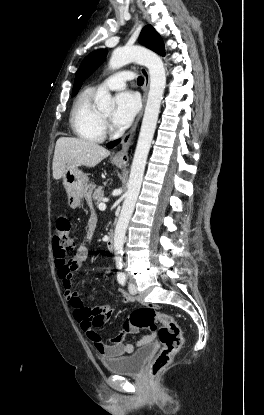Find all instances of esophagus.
<instances>
[{
	"label": "esophagus",
	"instance_id": "34e87169",
	"mask_svg": "<svg viewBox=\"0 0 264 415\" xmlns=\"http://www.w3.org/2000/svg\"><path fill=\"white\" fill-rule=\"evenodd\" d=\"M141 73L144 77V86H143V105H144L146 102V96H147V92L149 88L150 78H149V73L145 67H141ZM142 114H143V109L140 111V113L136 117L131 129L122 138L121 149L113 156L112 158L113 161L122 163V164L128 163L129 161L128 151L132 144L134 136L136 134L137 127L142 117Z\"/></svg>",
	"mask_w": 264,
	"mask_h": 415
}]
</instances>
